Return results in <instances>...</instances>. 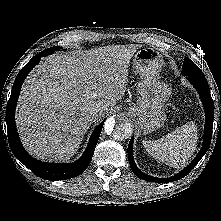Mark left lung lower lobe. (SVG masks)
I'll list each match as a JSON object with an SVG mask.
<instances>
[{
	"label": "left lung lower lobe",
	"instance_id": "0a47b994",
	"mask_svg": "<svg viewBox=\"0 0 221 221\" xmlns=\"http://www.w3.org/2000/svg\"><path fill=\"white\" fill-rule=\"evenodd\" d=\"M187 79L191 82V84L196 88L198 91L200 98L203 102V106L205 109V132H204V142L203 147L195 157V159L185 167L180 173L170 178H156L149 176L143 172H141L133 158V137L131 138L128 146V159L131 166L133 173L138 176L139 178L149 181V182H156V183H167L172 181H177L183 177H185L191 170L197 165V163L201 160V158L207 152L212 138V126L214 120V103L210 94L209 85L207 79L204 75H185Z\"/></svg>",
	"mask_w": 221,
	"mask_h": 221
}]
</instances>
